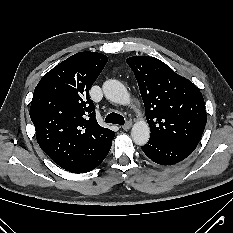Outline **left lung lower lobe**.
<instances>
[{
    "mask_svg": "<svg viewBox=\"0 0 233 233\" xmlns=\"http://www.w3.org/2000/svg\"><path fill=\"white\" fill-rule=\"evenodd\" d=\"M142 150L153 162L160 165H173L188 157L193 150L184 146L165 142L156 138L149 139Z\"/></svg>",
    "mask_w": 233,
    "mask_h": 233,
    "instance_id": "1",
    "label": "left lung lower lobe"
}]
</instances>
